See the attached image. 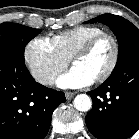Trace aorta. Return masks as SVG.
<instances>
[{"label":"aorta","mask_w":139,"mask_h":139,"mask_svg":"<svg viewBox=\"0 0 139 139\" xmlns=\"http://www.w3.org/2000/svg\"><path fill=\"white\" fill-rule=\"evenodd\" d=\"M74 107L78 111L86 112L92 107V101L90 97L86 94H79L74 99Z\"/></svg>","instance_id":"1"}]
</instances>
